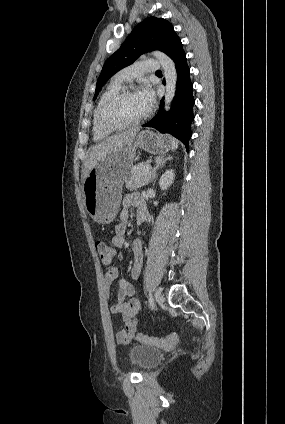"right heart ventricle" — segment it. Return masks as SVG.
Instances as JSON below:
<instances>
[{"label":"right heart ventricle","instance_id":"right-heart-ventricle-1","mask_svg":"<svg viewBox=\"0 0 285 424\" xmlns=\"http://www.w3.org/2000/svg\"><path fill=\"white\" fill-rule=\"evenodd\" d=\"M121 89H122L121 83L117 82L116 80H112L108 84V86L105 88L103 93L101 94V96H100V98L97 102L96 108L94 110V113H93V134H94L95 140L104 139L105 137L109 136L111 133L114 132V130L102 129L99 126V123H98V116H99V112H100L102 106L104 105V103L112 95H114L116 92H118Z\"/></svg>","mask_w":285,"mask_h":424}]
</instances>
